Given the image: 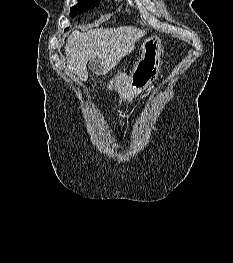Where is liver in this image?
I'll list each match as a JSON object with an SVG mask.
<instances>
[{
    "label": "liver",
    "mask_w": 233,
    "mask_h": 263,
    "mask_svg": "<svg viewBox=\"0 0 233 263\" xmlns=\"http://www.w3.org/2000/svg\"><path fill=\"white\" fill-rule=\"evenodd\" d=\"M144 31L133 26L73 31L67 39V68L80 82L88 78L87 63L98 59L96 73L105 75L134 48Z\"/></svg>",
    "instance_id": "1"
}]
</instances>
